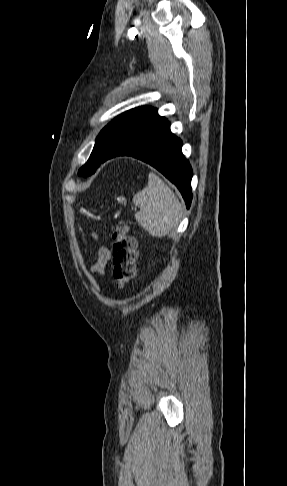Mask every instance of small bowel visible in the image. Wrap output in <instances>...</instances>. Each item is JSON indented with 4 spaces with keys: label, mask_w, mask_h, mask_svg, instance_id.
Instances as JSON below:
<instances>
[{
    "label": "small bowel",
    "mask_w": 287,
    "mask_h": 486,
    "mask_svg": "<svg viewBox=\"0 0 287 486\" xmlns=\"http://www.w3.org/2000/svg\"><path fill=\"white\" fill-rule=\"evenodd\" d=\"M93 237L94 239L98 238L96 233H93ZM110 259L111 251L105 246L99 247L96 251L95 261L92 265L91 271L99 275H104L106 273V269Z\"/></svg>",
    "instance_id": "c3829d8e"
}]
</instances>
